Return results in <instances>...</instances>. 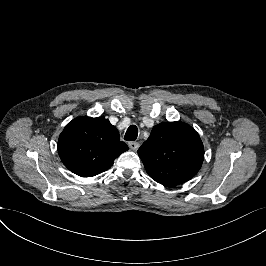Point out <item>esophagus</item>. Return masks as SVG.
Returning <instances> with one entry per match:
<instances>
[{
  "label": "esophagus",
  "instance_id": "obj_1",
  "mask_svg": "<svg viewBox=\"0 0 266 266\" xmlns=\"http://www.w3.org/2000/svg\"><path fill=\"white\" fill-rule=\"evenodd\" d=\"M139 145L138 142H128V147L133 151H136L139 148Z\"/></svg>",
  "mask_w": 266,
  "mask_h": 266
}]
</instances>
